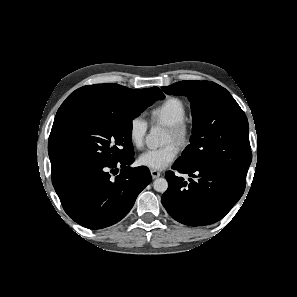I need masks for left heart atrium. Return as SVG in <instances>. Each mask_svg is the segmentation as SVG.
<instances>
[{"instance_id":"39dd6f15","label":"left heart atrium","mask_w":297,"mask_h":297,"mask_svg":"<svg viewBox=\"0 0 297 297\" xmlns=\"http://www.w3.org/2000/svg\"><path fill=\"white\" fill-rule=\"evenodd\" d=\"M178 148L170 142L160 148L150 149L139 157V163L152 170H163L177 157Z\"/></svg>"}]
</instances>
